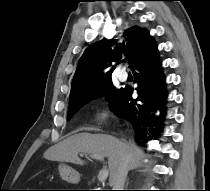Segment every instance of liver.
Segmentation results:
<instances>
[{"mask_svg":"<svg viewBox=\"0 0 210 191\" xmlns=\"http://www.w3.org/2000/svg\"><path fill=\"white\" fill-rule=\"evenodd\" d=\"M79 153L107 157L110 184L124 157H127L129 169L139 167L144 158L142 149L134 142H122L111 135L88 132L74 134L50 147L44 157L51 161L84 165L85 162L78 157Z\"/></svg>","mask_w":210,"mask_h":191,"instance_id":"1","label":"liver"}]
</instances>
